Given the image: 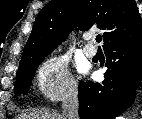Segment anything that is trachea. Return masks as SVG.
I'll return each mask as SVG.
<instances>
[{
	"label": "trachea",
	"mask_w": 142,
	"mask_h": 119,
	"mask_svg": "<svg viewBox=\"0 0 142 119\" xmlns=\"http://www.w3.org/2000/svg\"><path fill=\"white\" fill-rule=\"evenodd\" d=\"M101 40H102V36H101V35H97V36H96V41H97L98 43H100Z\"/></svg>",
	"instance_id": "1"
}]
</instances>
